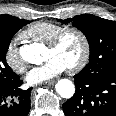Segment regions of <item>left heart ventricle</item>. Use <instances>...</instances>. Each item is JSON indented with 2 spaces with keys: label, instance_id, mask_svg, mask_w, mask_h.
Returning a JSON list of instances; mask_svg holds the SVG:
<instances>
[{
  "label": "left heart ventricle",
  "instance_id": "1",
  "mask_svg": "<svg viewBox=\"0 0 116 116\" xmlns=\"http://www.w3.org/2000/svg\"><path fill=\"white\" fill-rule=\"evenodd\" d=\"M83 46L81 39L75 33L67 34L57 49L47 48L45 59L57 57L62 60L67 67L75 64L81 57Z\"/></svg>",
  "mask_w": 116,
  "mask_h": 116
}]
</instances>
